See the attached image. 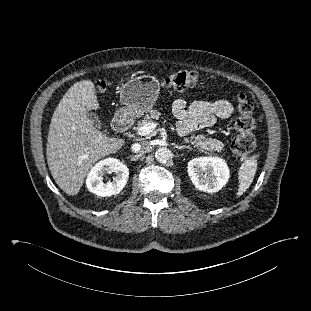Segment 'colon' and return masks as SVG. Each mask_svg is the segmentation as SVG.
I'll list each match as a JSON object with an SVG mask.
<instances>
[{
    "label": "colon",
    "mask_w": 311,
    "mask_h": 311,
    "mask_svg": "<svg viewBox=\"0 0 311 311\" xmlns=\"http://www.w3.org/2000/svg\"><path fill=\"white\" fill-rule=\"evenodd\" d=\"M200 81V75L195 71H179L166 76L163 81V87L172 90H185L193 87ZM110 87L107 81L96 82V89L99 92H105ZM238 116L233 122V128L237 132L232 141L233 151L242 158L255 157L256 138L254 130L256 120L253 116V103L245 94L236 96Z\"/></svg>",
    "instance_id": "1"
}]
</instances>
